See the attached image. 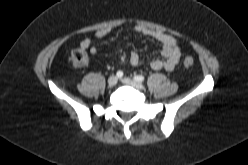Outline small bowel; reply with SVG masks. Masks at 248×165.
<instances>
[{"label": "small bowel", "mask_w": 248, "mask_h": 165, "mask_svg": "<svg viewBox=\"0 0 248 165\" xmlns=\"http://www.w3.org/2000/svg\"><path fill=\"white\" fill-rule=\"evenodd\" d=\"M135 31L140 35L150 37L158 41L162 45V58L151 60L147 64L154 70L164 69L166 71H172L182 57V50L179 40L173 35L144 26H136ZM109 32V28H102L95 33V38L101 39ZM80 47L85 50L89 49L92 56H95L97 53V48L95 46H91L90 38H84L80 42ZM129 63L133 67H138L141 65V58L136 51H132L130 53Z\"/></svg>", "instance_id": "obj_1"}]
</instances>
